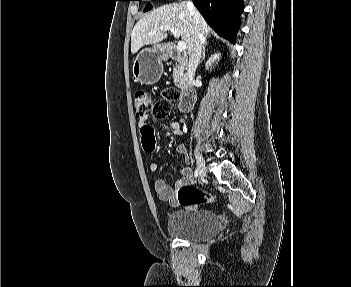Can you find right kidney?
Instances as JSON below:
<instances>
[{"label": "right kidney", "instance_id": "obj_1", "mask_svg": "<svg viewBox=\"0 0 351 287\" xmlns=\"http://www.w3.org/2000/svg\"><path fill=\"white\" fill-rule=\"evenodd\" d=\"M219 56L220 54H217V53L212 55L205 64L206 69H209V67L212 66V63H214V61L219 60Z\"/></svg>", "mask_w": 351, "mask_h": 287}]
</instances>
